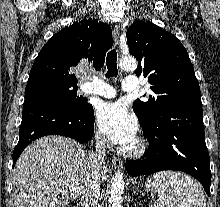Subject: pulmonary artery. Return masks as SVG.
<instances>
[{
	"label": "pulmonary artery",
	"mask_w": 220,
	"mask_h": 207,
	"mask_svg": "<svg viewBox=\"0 0 220 207\" xmlns=\"http://www.w3.org/2000/svg\"><path fill=\"white\" fill-rule=\"evenodd\" d=\"M138 87V80L134 76L126 77L122 82V89L127 92L137 90ZM85 91L104 98H113L117 95L116 90L112 86L100 80H95L92 84L88 85Z\"/></svg>",
	"instance_id": "e3ab8cb5"
}]
</instances>
